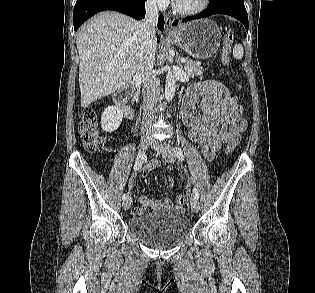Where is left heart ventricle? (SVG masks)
I'll use <instances>...</instances> for the list:
<instances>
[{"label": "left heart ventricle", "instance_id": "1", "mask_svg": "<svg viewBox=\"0 0 315 293\" xmlns=\"http://www.w3.org/2000/svg\"><path fill=\"white\" fill-rule=\"evenodd\" d=\"M175 2L184 9H192L198 7L202 0H175Z\"/></svg>", "mask_w": 315, "mask_h": 293}]
</instances>
